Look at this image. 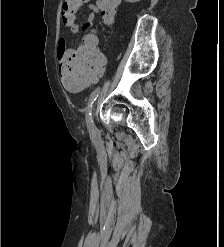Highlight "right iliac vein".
<instances>
[{
	"mask_svg": "<svg viewBox=\"0 0 224 247\" xmlns=\"http://www.w3.org/2000/svg\"><path fill=\"white\" fill-rule=\"evenodd\" d=\"M92 114L94 116V114H95V107H93V109H92Z\"/></svg>",
	"mask_w": 224,
	"mask_h": 247,
	"instance_id": "63e3f726",
	"label": "right iliac vein"
}]
</instances>
